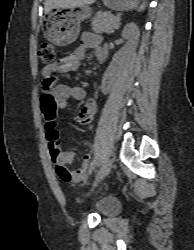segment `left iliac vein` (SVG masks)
Masks as SVG:
<instances>
[{
    "mask_svg": "<svg viewBox=\"0 0 194 250\" xmlns=\"http://www.w3.org/2000/svg\"><path fill=\"white\" fill-rule=\"evenodd\" d=\"M112 167V158H108L103 163L102 167L100 168L96 180L94 182V187L97 186L109 173Z\"/></svg>",
    "mask_w": 194,
    "mask_h": 250,
    "instance_id": "4c4485c4",
    "label": "left iliac vein"
}]
</instances>
